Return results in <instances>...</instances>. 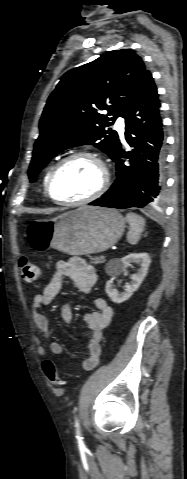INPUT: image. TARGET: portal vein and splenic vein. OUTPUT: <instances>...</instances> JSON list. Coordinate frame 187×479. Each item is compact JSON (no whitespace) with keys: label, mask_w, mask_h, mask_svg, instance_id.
Returning a JSON list of instances; mask_svg holds the SVG:
<instances>
[{"label":"portal vein and splenic vein","mask_w":187,"mask_h":479,"mask_svg":"<svg viewBox=\"0 0 187 479\" xmlns=\"http://www.w3.org/2000/svg\"><path fill=\"white\" fill-rule=\"evenodd\" d=\"M101 258H102V259H104V258H105V256H101Z\"/></svg>","instance_id":"portal-vein-and-splenic-vein-1"}]
</instances>
